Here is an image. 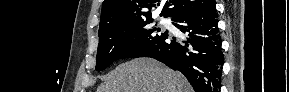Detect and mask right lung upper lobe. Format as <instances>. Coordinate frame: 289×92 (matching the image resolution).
<instances>
[{"label": "right lung upper lobe", "mask_w": 289, "mask_h": 92, "mask_svg": "<svg viewBox=\"0 0 289 92\" xmlns=\"http://www.w3.org/2000/svg\"><path fill=\"white\" fill-rule=\"evenodd\" d=\"M159 0H104L101 10L99 31L119 22L151 18L150 9L159 6ZM211 0L167 1L160 16L171 17L197 10ZM149 10V11H148Z\"/></svg>", "instance_id": "right-lung-upper-lobe-1"}]
</instances>
